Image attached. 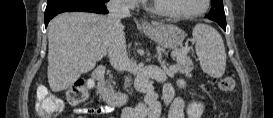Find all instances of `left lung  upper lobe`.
Returning <instances> with one entry per match:
<instances>
[{"label": "left lung upper lobe", "mask_w": 273, "mask_h": 118, "mask_svg": "<svg viewBox=\"0 0 273 118\" xmlns=\"http://www.w3.org/2000/svg\"><path fill=\"white\" fill-rule=\"evenodd\" d=\"M211 5L212 8L206 17L217 23H226L223 1L211 0Z\"/></svg>", "instance_id": "1"}]
</instances>
